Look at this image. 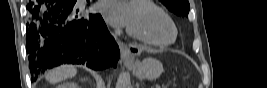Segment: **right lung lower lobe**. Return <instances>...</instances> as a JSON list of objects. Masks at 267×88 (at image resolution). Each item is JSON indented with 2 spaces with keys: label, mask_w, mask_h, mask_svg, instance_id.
I'll list each match as a JSON object with an SVG mask.
<instances>
[{
  "label": "right lung lower lobe",
  "mask_w": 267,
  "mask_h": 88,
  "mask_svg": "<svg viewBox=\"0 0 267 88\" xmlns=\"http://www.w3.org/2000/svg\"><path fill=\"white\" fill-rule=\"evenodd\" d=\"M75 3L33 0L28 4L26 50L33 77L65 63H87L95 70L116 66L119 48L101 15L81 17Z\"/></svg>",
  "instance_id": "1"
}]
</instances>
